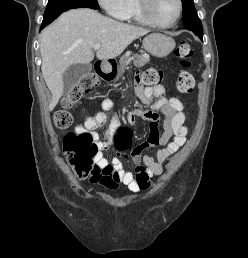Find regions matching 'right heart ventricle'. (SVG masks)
<instances>
[{"mask_svg":"<svg viewBox=\"0 0 248 258\" xmlns=\"http://www.w3.org/2000/svg\"><path fill=\"white\" fill-rule=\"evenodd\" d=\"M122 19L126 21H132L135 23L147 24L140 14L138 0L128 1V9Z\"/></svg>","mask_w":248,"mask_h":258,"instance_id":"e07e8e85","label":"right heart ventricle"}]
</instances>
